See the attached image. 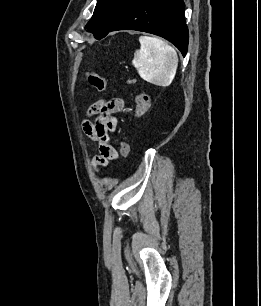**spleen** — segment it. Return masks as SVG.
<instances>
[{"mask_svg":"<svg viewBox=\"0 0 261 306\" xmlns=\"http://www.w3.org/2000/svg\"><path fill=\"white\" fill-rule=\"evenodd\" d=\"M139 42L140 49L135 51L132 64L140 77L157 86H169L178 67L176 50L156 37L141 36Z\"/></svg>","mask_w":261,"mask_h":306,"instance_id":"spleen-1","label":"spleen"}]
</instances>
